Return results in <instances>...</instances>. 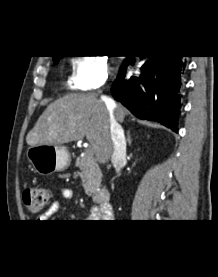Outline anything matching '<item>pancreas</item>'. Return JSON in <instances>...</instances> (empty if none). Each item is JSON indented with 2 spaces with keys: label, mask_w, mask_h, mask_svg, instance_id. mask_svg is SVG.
I'll list each match as a JSON object with an SVG mask.
<instances>
[{
  "label": "pancreas",
  "mask_w": 218,
  "mask_h": 277,
  "mask_svg": "<svg viewBox=\"0 0 218 277\" xmlns=\"http://www.w3.org/2000/svg\"><path fill=\"white\" fill-rule=\"evenodd\" d=\"M75 166L80 168L82 186L86 194L91 195L100 187L102 173L95 159L85 153L83 157L76 159Z\"/></svg>",
  "instance_id": "1"
}]
</instances>
